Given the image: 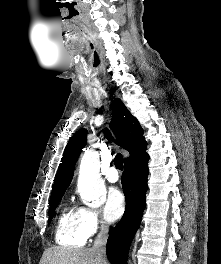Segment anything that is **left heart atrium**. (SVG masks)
<instances>
[{"mask_svg": "<svg viewBox=\"0 0 221 264\" xmlns=\"http://www.w3.org/2000/svg\"><path fill=\"white\" fill-rule=\"evenodd\" d=\"M125 210V198L123 193L112 188L108 191L104 206V216L108 221L119 219Z\"/></svg>", "mask_w": 221, "mask_h": 264, "instance_id": "39dd6f15", "label": "left heart atrium"}]
</instances>
